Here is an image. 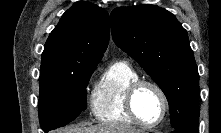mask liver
I'll list each match as a JSON object with an SVG mask.
<instances>
[{"mask_svg": "<svg viewBox=\"0 0 221 133\" xmlns=\"http://www.w3.org/2000/svg\"><path fill=\"white\" fill-rule=\"evenodd\" d=\"M56 133H142V131L128 125L106 122L90 127H66L57 130Z\"/></svg>", "mask_w": 221, "mask_h": 133, "instance_id": "6515ba94", "label": "liver"}]
</instances>
